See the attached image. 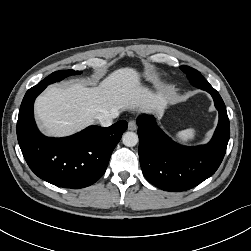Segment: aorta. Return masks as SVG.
<instances>
[{
	"mask_svg": "<svg viewBox=\"0 0 251 251\" xmlns=\"http://www.w3.org/2000/svg\"><path fill=\"white\" fill-rule=\"evenodd\" d=\"M122 142L127 147H133L138 143V135L134 132H125L122 136Z\"/></svg>",
	"mask_w": 251,
	"mask_h": 251,
	"instance_id": "obj_1",
	"label": "aorta"
}]
</instances>
